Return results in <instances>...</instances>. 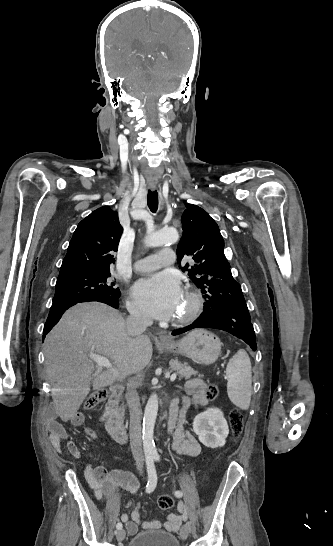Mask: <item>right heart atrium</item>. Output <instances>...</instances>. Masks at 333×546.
Masks as SVG:
<instances>
[{"label": "right heart atrium", "instance_id": "d8ad5b80", "mask_svg": "<svg viewBox=\"0 0 333 546\" xmlns=\"http://www.w3.org/2000/svg\"><path fill=\"white\" fill-rule=\"evenodd\" d=\"M127 307H128V310H129L130 314L135 319L141 320V321H146L147 320V317H146L145 313L142 311V309L134 301L129 300L127 302Z\"/></svg>", "mask_w": 333, "mask_h": 546}]
</instances>
